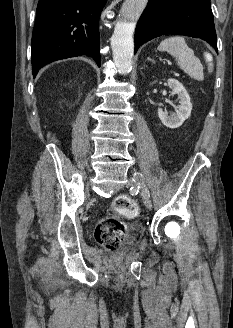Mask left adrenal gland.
Here are the masks:
<instances>
[{
    "mask_svg": "<svg viewBox=\"0 0 233 328\" xmlns=\"http://www.w3.org/2000/svg\"><path fill=\"white\" fill-rule=\"evenodd\" d=\"M147 60L155 63V61L153 59L147 58Z\"/></svg>",
    "mask_w": 233,
    "mask_h": 328,
    "instance_id": "a2214340",
    "label": "left adrenal gland"
}]
</instances>
